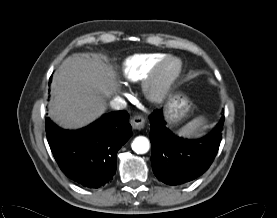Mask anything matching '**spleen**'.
I'll return each mask as SVG.
<instances>
[{
	"instance_id": "spleen-1",
	"label": "spleen",
	"mask_w": 277,
	"mask_h": 218,
	"mask_svg": "<svg viewBox=\"0 0 277 218\" xmlns=\"http://www.w3.org/2000/svg\"><path fill=\"white\" fill-rule=\"evenodd\" d=\"M205 118L203 116H199L189 123H187L185 126H183L181 129H179L176 134L179 137L184 138H193L200 135V132L204 128L205 124Z\"/></svg>"
}]
</instances>
